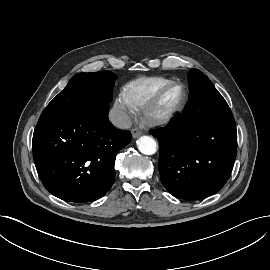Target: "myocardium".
Wrapping results in <instances>:
<instances>
[{"label":"myocardium","mask_w":270,"mask_h":270,"mask_svg":"<svg viewBox=\"0 0 270 270\" xmlns=\"http://www.w3.org/2000/svg\"><path fill=\"white\" fill-rule=\"evenodd\" d=\"M173 88L180 89V98L169 105L164 104L166 94ZM188 102V91L184 84L170 81L163 86L141 109L143 120L153 126L164 125L175 119Z\"/></svg>","instance_id":"myocardium-1"}]
</instances>
